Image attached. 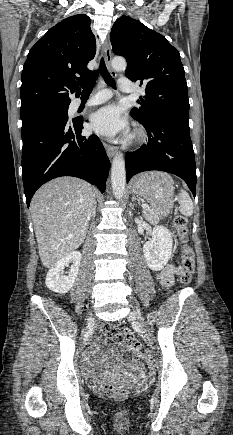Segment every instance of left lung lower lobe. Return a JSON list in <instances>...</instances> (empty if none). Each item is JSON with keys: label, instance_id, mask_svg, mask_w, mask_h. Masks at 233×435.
<instances>
[{"label": "left lung lower lobe", "instance_id": "0a47b994", "mask_svg": "<svg viewBox=\"0 0 233 435\" xmlns=\"http://www.w3.org/2000/svg\"><path fill=\"white\" fill-rule=\"evenodd\" d=\"M140 123L147 131L148 144L126 155L127 182L139 172L165 171L182 178L195 197L196 164L189 122L155 120Z\"/></svg>", "mask_w": 233, "mask_h": 435}]
</instances>
